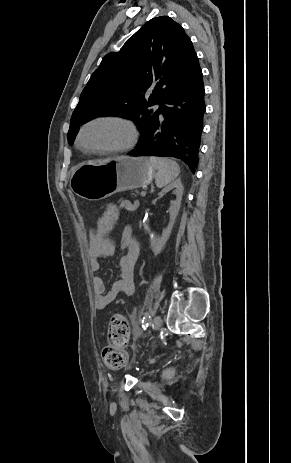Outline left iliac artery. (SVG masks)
Listing matches in <instances>:
<instances>
[{"mask_svg":"<svg viewBox=\"0 0 291 463\" xmlns=\"http://www.w3.org/2000/svg\"><path fill=\"white\" fill-rule=\"evenodd\" d=\"M149 321H150V315L148 313H146L145 316L143 317V320H142L143 329H146L148 327Z\"/></svg>","mask_w":291,"mask_h":463,"instance_id":"obj_1","label":"left iliac artery"}]
</instances>
